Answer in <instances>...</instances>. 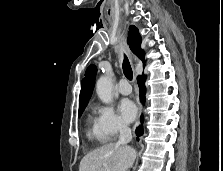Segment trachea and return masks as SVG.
I'll return each mask as SVG.
<instances>
[{
    "mask_svg": "<svg viewBox=\"0 0 223 171\" xmlns=\"http://www.w3.org/2000/svg\"><path fill=\"white\" fill-rule=\"evenodd\" d=\"M122 66H123V73L126 76V78H128L129 80H132L133 72H132L131 65H130L129 60L126 57V55H124V61H123Z\"/></svg>",
    "mask_w": 223,
    "mask_h": 171,
    "instance_id": "obj_1",
    "label": "trachea"
}]
</instances>
